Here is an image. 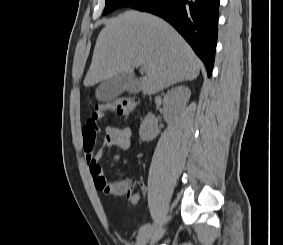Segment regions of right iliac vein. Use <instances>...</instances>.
Wrapping results in <instances>:
<instances>
[{
  "mask_svg": "<svg viewBox=\"0 0 283 245\" xmlns=\"http://www.w3.org/2000/svg\"><path fill=\"white\" fill-rule=\"evenodd\" d=\"M156 225L151 226L148 230H146L143 234L138 238L136 245H146L149 239L152 237L155 231Z\"/></svg>",
  "mask_w": 283,
  "mask_h": 245,
  "instance_id": "right-iliac-vein-1",
  "label": "right iliac vein"
}]
</instances>
